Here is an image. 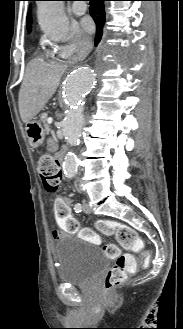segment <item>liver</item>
I'll return each instance as SVG.
<instances>
[{
  "label": "liver",
  "mask_w": 183,
  "mask_h": 329,
  "mask_svg": "<svg viewBox=\"0 0 183 329\" xmlns=\"http://www.w3.org/2000/svg\"><path fill=\"white\" fill-rule=\"evenodd\" d=\"M66 67L41 58L30 61L19 91V112L24 123L32 120L53 96Z\"/></svg>",
  "instance_id": "6515ba94"
}]
</instances>
